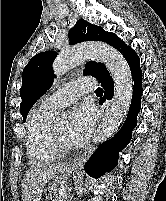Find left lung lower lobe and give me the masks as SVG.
Instances as JSON below:
<instances>
[{
  "mask_svg": "<svg viewBox=\"0 0 166 201\" xmlns=\"http://www.w3.org/2000/svg\"><path fill=\"white\" fill-rule=\"evenodd\" d=\"M130 66L134 80V91L128 116L124 125L111 139L105 141L97 151L90 157L84 168L88 175L98 178L106 172H110L117 166L119 151L126 147L132 138V130L137 125V114L141 108L142 95V71L140 61L136 52L127 46L122 52ZM105 89L104 99H111L114 92L113 80L109 74L98 79Z\"/></svg>",
  "mask_w": 166,
  "mask_h": 201,
  "instance_id": "obj_1",
  "label": "left lung lower lobe"
}]
</instances>
